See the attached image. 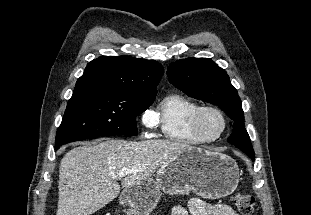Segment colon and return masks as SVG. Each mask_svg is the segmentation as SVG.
Wrapping results in <instances>:
<instances>
[{
	"label": "colon",
	"instance_id": "5ec220e1",
	"mask_svg": "<svg viewBox=\"0 0 311 215\" xmlns=\"http://www.w3.org/2000/svg\"><path fill=\"white\" fill-rule=\"evenodd\" d=\"M232 202L240 215H251L254 210L255 198L246 192H236L232 196Z\"/></svg>",
	"mask_w": 311,
	"mask_h": 215
}]
</instances>
